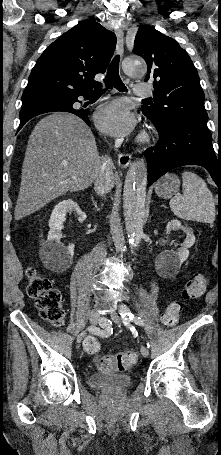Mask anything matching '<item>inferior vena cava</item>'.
Here are the masks:
<instances>
[{
  "label": "inferior vena cava",
  "instance_id": "1",
  "mask_svg": "<svg viewBox=\"0 0 221 455\" xmlns=\"http://www.w3.org/2000/svg\"><path fill=\"white\" fill-rule=\"evenodd\" d=\"M113 161L109 156L102 157V165L94 180V189L97 194L103 196L113 187Z\"/></svg>",
  "mask_w": 221,
  "mask_h": 455
}]
</instances>
